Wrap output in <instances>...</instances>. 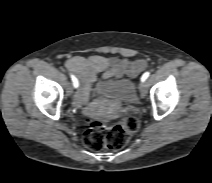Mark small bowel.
<instances>
[{
  "mask_svg": "<svg viewBox=\"0 0 212 183\" xmlns=\"http://www.w3.org/2000/svg\"><path fill=\"white\" fill-rule=\"evenodd\" d=\"M65 67L80 80V90L74 96V106L79 107L86 102L99 74H102L104 79L125 75L136 77L146 69L147 64L143 60L130 61L125 58L92 55L71 57L66 60Z\"/></svg>",
  "mask_w": 212,
  "mask_h": 183,
  "instance_id": "small-bowel-1",
  "label": "small bowel"
}]
</instances>
